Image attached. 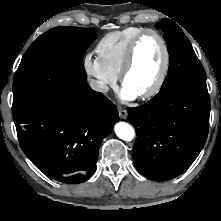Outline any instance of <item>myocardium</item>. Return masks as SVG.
I'll return each mask as SVG.
<instances>
[{
  "instance_id": "1",
  "label": "myocardium",
  "mask_w": 221,
  "mask_h": 221,
  "mask_svg": "<svg viewBox=\"0 0 221 221\" xmlns=\"http://www.w3.org/2000/svg\"><path fill=\"white\" fill-rule=\"evenodd\" d=\"M147 35L155 36L159 40L163 49V63H162L160 73L155 83L151 86L150 89L138 95L139 98L141 99L152 98L162 89L165 83V80L167 78V74H168V70L170 66V51H169L168 44L166 40L164 39V37L156 30L144 29L133 38V40L128 46L124 62H123L121 71L119 73V79H120L121 84L124 86L125 78L134 64L137 47L140 41Z\"/></svg>"
}]
</instances>
